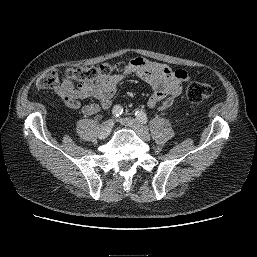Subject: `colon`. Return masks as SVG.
<instances>
[{
    "label": "colon",
    "mask_w": 257,
    "mask_h": 257,
    "mask_svg": "<svg viewBox=\"0 0 257 257\" xmlns=\"http://www.w3.org/2000/svg\"><path fill=\"white\" fill-rule=\"evenodd\" d=\"M125 67L121 62L71 67L66 70L65 75L67 79L74 80L79 84L92 85L114 72H123ZM58 82V72L55 69H50L39 78L37 85L40 89H53L58 86ZM212 93V87L204 82H191L186 88V98L191 103L206 101L212 96Z\"/></svg>",
    "instance_id": "obj_1"
}]
</instances>
